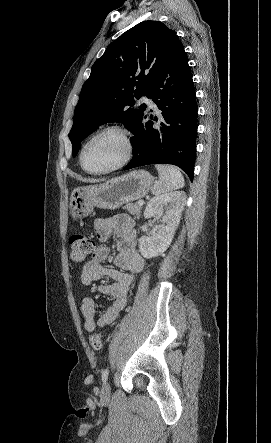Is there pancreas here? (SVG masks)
<instances>
[{
  "instance_id": "obj_1",
  "label": "pancreas",
  "mask_w": 271,
  "mask_h": 443,
  "mask_svg": "<svg viewBox=\"0 0 271 443\" xmlns=\"http://www.w3.org/2000/svg\"><path fill=\"white\" fill-rule=\"evenodd\" d=\"M123 210H127L129 214H132V216H136V218H140L141 206H139V204H126Z\"/></svg>"
}]
</instances>
